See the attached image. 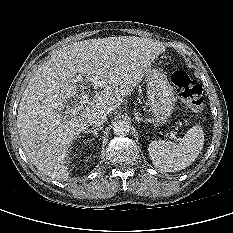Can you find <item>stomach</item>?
I'll use <instances>...</instances> for the list:
<instances>
[{
  "instance_id": "1",
  "label": "stomach",
  "mask_w": 233,
  "mask_h": 233,
  "mask_svg": "<svg viewBox=\"0 0 233 233\" xmlns=\"http://www.w3.org/2000/svg\"><path fill=\"white\" fill-rule=\"evenodd\" d=\"M147 97L154 121L159 125L166 124L175 106L173 87L166 76L154 68H149L145 74Z\"/></svg>"
}]
</instances>
